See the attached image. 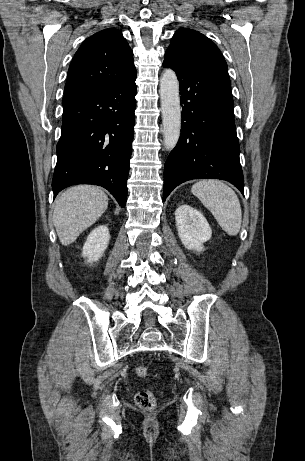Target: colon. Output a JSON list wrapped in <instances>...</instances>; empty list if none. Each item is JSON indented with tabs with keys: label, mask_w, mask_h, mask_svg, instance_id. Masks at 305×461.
Here are the masks:
<instances>
[{
	"label": "colon",
	"mask_w": 305,
	"mask_h": 461,
	"mask_svg": "<svg viewBox=\"0 0 305 461\" xmlns=\"http://www.w3.org/2000/svg\"><path fill=\"white\" fill-rule=\"evenodd\" d=\"M135 372L140 378H147L150 374L148 368L145 366H137ZM135 403L140 409L150 411L156 407L157 401L153 391L143 390L136 394Z\"/></svg>",
	"instance_id": "5ec220e1"
}]
</instances>
